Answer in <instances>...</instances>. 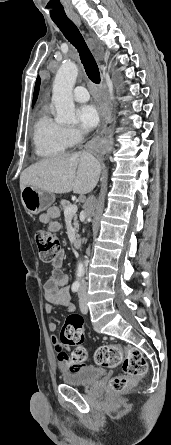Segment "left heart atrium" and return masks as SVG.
Returning <instances> with one entry per match:
<instances>
[{"label": "left heart atrium", "mask_w": 171, "mask_h": 445, "mask_svg": "<svg viewBox=\"0 0 171 445\" xmlns=\"http://www.w3.org/2000/svg\"><path fill=\"white\" fill-rule=\"evenodd\" d=\"M79 125L84 130L94 128L99 122V114L97 109L90 104L81 106L77 111Z\"/></svg>", "instance_id": "1"}]
</instances>
